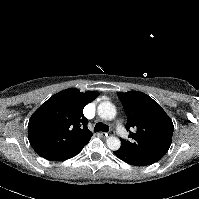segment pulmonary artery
<instances>
[{
  "instance_id": "e3ab8cb5",
  "label": "pulmonary artery",
  "mask_w": 199,
  "mask_h": 199,
  "mask_svg": "<svg viewBox=\"0 0 199 199\" xmlns=\"http://www.w3.org/2000/svg\"><path fill=\"white\" fill-rule=\"evenodd\" d=\"M116 130H117L118 134H119L122 138L127 139V137H128V132H127L124 128H122L121 125L118 124L117 127H116Z\"/></svg>"
}]
</instances>
